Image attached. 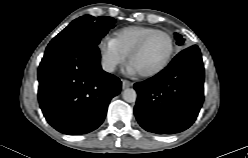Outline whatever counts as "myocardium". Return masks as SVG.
I'll list each match as a JSON object with an SVG mask.
<instances>
[{
    "label": "myocardium",
    "instance_id": "obj_1",
    "mask_svg": "<svg viewBox=\"0 0 248 158\" xmlns=\"http://www.w3.org/2000/svg\"><path fill=\"white\" fill-rule=\"evenodd\" d=\"M155 34L165 35L169 40L170 48H169L168 54H167L165 60L162 62V64H160L158 67H156L153 70L146 71V72H139V74L143 77H152V76H155V75L159 74L160 72H162L171 62L174 51H175V42H174V39L171 36V34L164 31V30H154V31L146 34L144 37H142V39L132 48V50L128 54L129 62H131L132 58L143 49V47L146 45L148 40Z\"/></svg>",
    "mask_w": 248,
    "mask_h": 158
}]
</instances>
